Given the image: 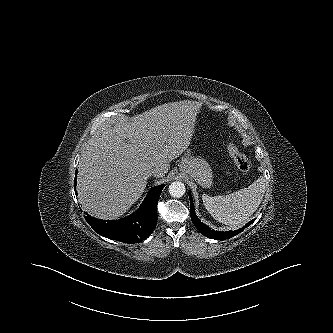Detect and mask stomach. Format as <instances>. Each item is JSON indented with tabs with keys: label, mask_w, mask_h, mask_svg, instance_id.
Masks as SVG:
<instances>
[{
	"label": "stomach",
	"mask_w": 333,
	"mask_h": 333,
	"mask_svg": "<svg viewBox=\"0 0 333 333\" xmlns=\"http://www.w3.org/2000/svg\"><path fill=\"white\" fill-rule=\"evenodd\" d=\"M179 171L195 180L202 187L209 188L212 185L213 173L209 163L191 151H187L182 157Z\"/></svg>",
	"instance_id": "obj_1"
}]
</instances>
